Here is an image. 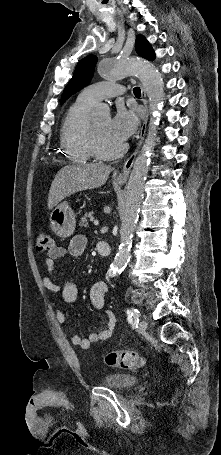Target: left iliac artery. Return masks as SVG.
Listing matches in <instances>:
<instances>
[{"label":"left iliac artery","instance_id":"left-iliac-artery-1","mask_svg":"<svg viewBox=\"0 0 221 455\" xmlns=\"http://www.w3.org/2000/svg\"><path fill=\"white\" fill-rule=\"evenodd\" d=\"M127 315H128V322L129 323H138L139 322V318H140V313L137 309H127L126 311Z\"/></svg>","mask_w":221,"mask_h":455}]
</instances>
